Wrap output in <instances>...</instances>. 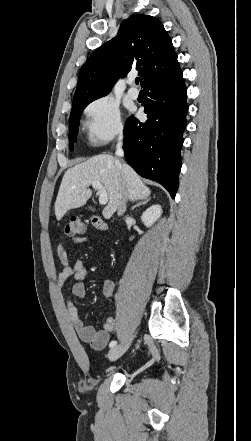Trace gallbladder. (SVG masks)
I'll use <instances>...</instances> for the list:
<instances>
[{"label": "gallbladder", "mask_w": 251, "mask_h": 441, "mask_svg": "<svg viewBox=\"0 0 251 441\" xmlns=\"http://www.w3.org/2000/svg\"><path fill=\"white\" fill-rule=\"evenodd\" d=\"M89 209H90V210H92V211H94V209H93V208H91V207H89Z\"/></svg>", "instance_id": "bac80fb5"}]
</instances>
